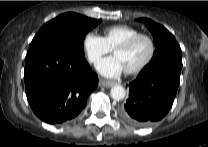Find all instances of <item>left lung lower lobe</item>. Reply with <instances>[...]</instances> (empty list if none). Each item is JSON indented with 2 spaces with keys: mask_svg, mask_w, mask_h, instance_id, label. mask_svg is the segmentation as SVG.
I'll use <instances>...</instances> for the list:
<instances>
[{
  "mask_svg": "<svg viewBox=\"0 0 208 147\" xmlns=\"http://www.w3.org/2000/svg\"><path fill=\"white\" fill-rule=\"evenodd\" d=\"M181 68L164 62L141 71L137 79L129 84V98L119 109L120 117L137 127L161 120L172 107Z\"/></svg>",
  "mask_w": 208,
  "mask_h": 147,
  "instance_id": "obj_1",
  "label": "left lung lower lobe"
}]
</instances>
